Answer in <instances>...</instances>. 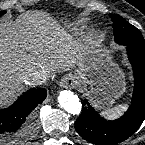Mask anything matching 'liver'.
I'll list each match as a JSON object with an SVG mask.
<instances>
[{
  "label": "liver",
  "instance_id": "1",
  "mask_svg": "<svg viewBox=\"0 0 145 145\" xmlns=\"http://www.w3.org/2000/svg\"><path fill=\"white\" fill-rule=\"evenodd\" d=\"M78 52L65 28L45 12L20 16L16 24H1L0 99L19 91L32 72L77 65Z\"/></svg>",
  "mask_w": 145,
  "mask_h": 145
}]
</instances>
